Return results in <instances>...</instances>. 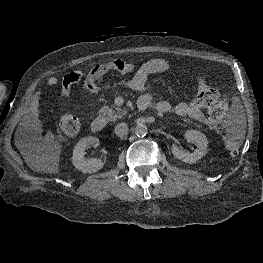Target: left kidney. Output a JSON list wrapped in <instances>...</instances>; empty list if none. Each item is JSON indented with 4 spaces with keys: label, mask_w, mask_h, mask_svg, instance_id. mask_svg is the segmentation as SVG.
I'll list each match as a JSON object with an SVG mask.
<instances>
[{
    "label": "left kidney",
    "mask_w": 263,
    "mask_h": 263,
    "mask_svg": "<svg viewBox=\"0 0 263 263\" xmlns=\"http://www.w3.org/2000/svg\"><path fill=\"white\" fill-rule=\"evenodd\" d=\"M184 138L197 144V148L192 152H186L182 150L178 145L173 144L171 146L172 154L183 162L195 163L197 160L201 159L207 153L208 140L206 136L196 130H189L184 133Z\"/></svg>",
    "instance_id": "1"
}]
</instances>
